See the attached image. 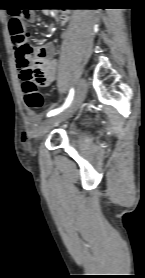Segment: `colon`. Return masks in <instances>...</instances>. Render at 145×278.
<instances>
[{
  "label": "colon",
  "mask_w": 145,
  "mask_h": 278,
  "mask_svg": "<svg viewBox=\"0 0 145 278\" xmlns=\"http://www.w3.org/2000/svg\"><path fill=\"white\" fill-rule=\"evenodd\" d=\"M31 18L28 10L16 9L9 23V32L14 43L18 45L17 54L31 55L32 49L27 44L26 25ZM22 91L26 105L31 109H38L43 105V95L39 86L43 83L45 75L43 70L35 64L23 75Z\"/></svg>",
  "instance_id": "1"
}]
</instances>
